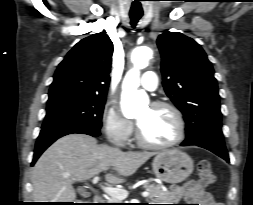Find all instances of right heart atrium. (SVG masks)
Returning a JSON list of instances; mask_svg holds the SVG:
<instances>
[{
    "instance_id": "d8ad5b80",
    "label": "right heart atrium",
    "mask_w": 253,
    "mask_h": 205,
    "mask_svg": "<svg viewBox=\"0 0 253 205\" xmlns=\"http://www.w3.org/2000/svg\"><path fill=\"white\" fill-rule=\"evenodd\" d=\"M106 137L118 146L125 145L133 132V125L112 104H106L101 116Z\"/></svg>"
}]
</instances>
